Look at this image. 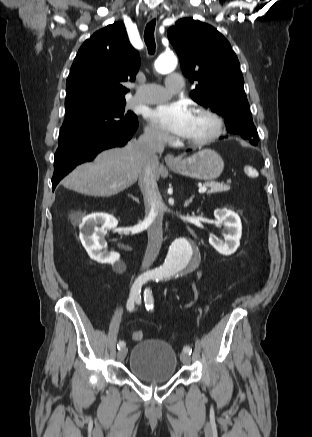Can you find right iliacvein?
<instances>
[{
    "instance_id": "1",
    "label": "right iliac vein",
    "mask_w": 312,
    "mask_h": 437,
    "mask_svg": "<svg viewBox=\"0 0 312 437\" xmlns=\"http://www.w3.org/2000/svg\"><path fill=\"white\" fill-rule=\"evenodd\" d=\"M126 355H127V348L123 347L118 351L117 358L119 361H122L125 359Z\"/></svg>"
}]
</instances>
